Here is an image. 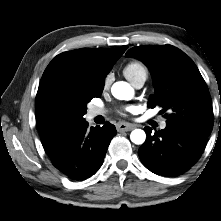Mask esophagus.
I'll list each match as a JSON object with an SVG mask.
<instances>
[{
    "label": "esophagus",
    "mask_w": 221,
    "mask_h": 221,
    "mask_svg": "<svg viewBox=\"0 0 221 221\" xmlns=\"http://www.w3.org/2000/svg\"><path fill=\"white\" fill-rule=\"evenodd\" d=\"M116 128L118 132H127L133 130L135 126L128 123H118Z\"/></svg>",
    "instance_id": "34e87169"
}]
</instances>
